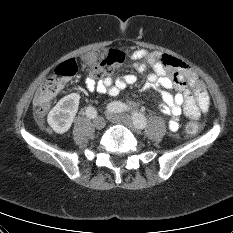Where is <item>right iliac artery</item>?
Returning <instances> with one entry per match:
<instances>
[{
	"label": "right iliac artery",
	"instance_id": "82829eb1",
	"mask_svg": "<svg viewBox=\"0 0 233 233\" xmlns=\"http://www.w3.org/2000/svg\"><path fill=\"white\" fill-rule=\"evenodd\" d=\"M86 115H87V117H89V118H91V119H94V118H96V116H97V112H96V110L94 109V107L89 106V107H87V109H86Z\"/></svg>",
	"mask_w": 233,
	"mask_h": 233
}]
</instances>
